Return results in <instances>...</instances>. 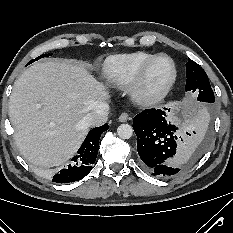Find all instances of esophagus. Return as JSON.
I'll return each mask as SVG.
<instances>
[{
    "label": "esophagus",
    "instance_id": "obj_1",
    "mask_svg": "<svg viewBox=\"0 0 233 233\" xmlns=\"http://www.w3.org/2000/svg\"><path fill=\"white\" fill-rule=\"evenodd\" d=\"M129 119H130V117H129L128 113H126V112L121 113L119 118H118L119 122H126Z\"/></svg>",
    "mask_w": 233,
    "mask_h": 233
}]
</instances>
